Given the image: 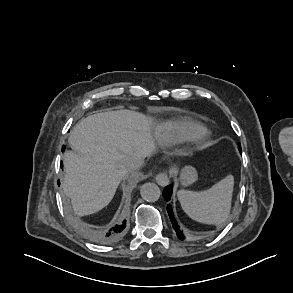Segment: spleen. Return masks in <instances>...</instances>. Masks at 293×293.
<instances>
[{
	"instance_id": "obj_1",
	"label": "spleen",
	"mask_w": 293,
	"mask_h": 293,
	"mask_svg": "<svg viewBox=\"0 0 293 293\" xmlns=\"http://www.w3.org/2000/svg\"><path fill=\"white\" fill-rule=\"evenodd\" d=\"M233 187L234 177L228 175L208 190H179L177 196L182 209L190 218L200 223L221 226L230 214Z\"/></svg>"
}]
</instances>
